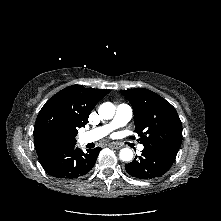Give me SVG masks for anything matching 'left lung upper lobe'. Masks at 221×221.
I'll return each instance as SVG.
<instances>
[{
    "label": "left lung upper lobe",
    "instance_id": "left-lung-upper-lobe-1",
    "mask_svg": "<svg viewBox=\"0 0 221 221\" xmlns=\"http://www.w3.org/2000/svg\"><path fill=\"white\" fill-rule=\"evenodd\" d=\"M121 93L133 107L134 131L140 136V143L180 148L182 123L168 101L144 88L128 89Z\"/></svg>",
    "mask_w": 221,
    "mask_h": 221
}]
</instances>
